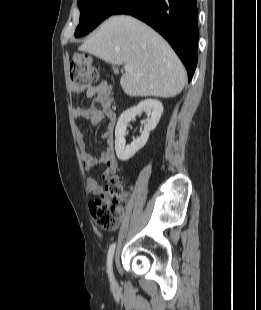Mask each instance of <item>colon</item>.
I'll return each mask as SVG.
<instances>
[{
	"label": "colon",
	"instance_id": "colon-1",
	"mask_svg": "<svg viewBox=\"0 0 261 310\" xmlns=\"http://www.w3.org/2000/svg\"><path fill=\"white\" fill-rule=\"evenodd\" d=\"M99 71L91 55L76 53L70 63V79L76 86L90 85L98 80ZM126 206V193L121 183L110 179L104 191L89 204L95 223L106 230L118 227Z\"/></svg>",
	"mask_w": 261,
	"mask_h": 310
}]
</instances>
